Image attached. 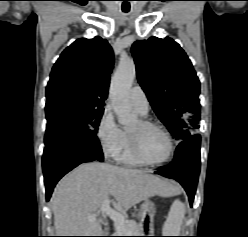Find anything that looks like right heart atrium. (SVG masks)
<instances>
[{"label": "right heart atrium", "mask_w": 248, "mask_h": 237, "mask_svg": "<svg viewBox=\"0 0 248 237\" xmlns=\"http://www.w3.org/2000/svg\"><path fill=\"white\" fill-rule=\"evenodd\" d=\"M96 137L106 158H116L123 145V131L117 125L113 112L106 107L97 124Z\"/></svg>", "instance_id": "right-heart-atrium-1"}]
</instances>
